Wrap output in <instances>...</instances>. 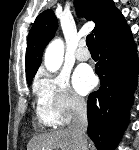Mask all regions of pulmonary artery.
<instances>
[{
	"label": "pulmonary artery",
	"instance_id": "obj_1",
	"mask_svg": "<svg viewBox=\"0 0 139 150\" xmlns=\"http://www.w3.org/2000/svg\"><path fill=\"white\" fill-rule=\"evenodd\" d=\"M91 57L89 50L86 48L85 41H81L76 51V58L79 61H86Z\"/></svg>",
	"mask_w": 139,
	"mask_h": 150
}]
</instances>
